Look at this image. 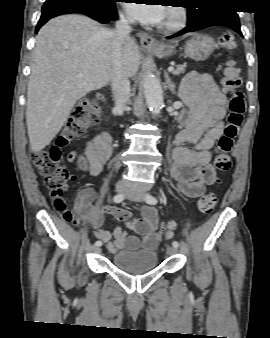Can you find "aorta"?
I'll return each instance as SVG.
<instances>
[{
    "instance_id": "aorta-1",
    "label": "aorta",
    "mask_w": 270,
    "mask_h": 338,
    "mask_svg": "<svg viewBox=\"0 0 270 338\" xmlns=\"http://www.w3.org/2000/svg\"><path fill=\"white\" fill-rule=\"evenodd\" d=\"M144 95L153 114L158 115L163 107V91L159 79L151 72L144 76Z\"/></svg>"
}]
</instances>
